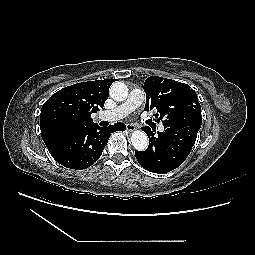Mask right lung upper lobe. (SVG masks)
Returning a JSON list of instances; mask_svg holds the SVG:
<instances>
[{
  "instance_id": "obj_1",
  "label": "right lung upper lobe",
  "mask_w": 255,
  "mask_h": 255,
  "mask_svg": "<svg viewBox=\"0 0 255 255\" xmlns=\"http://www.w3.org/2000/svg\"><path fill=\"white\" fill-rule=\"evenodd\" d=\"M114 79L88 81L65 87L42 106L41 136L46 146L76 129L91 126V113L99 111L109 96Z\"/></svg>"
}]
</instances>
